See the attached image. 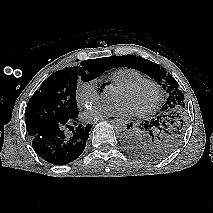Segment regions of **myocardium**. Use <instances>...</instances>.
I'll list each match as a JSON object with an SVG mask.
<instances>
[{"label":"myocardium","mask_w":213,"mask_h":213,"mask_svg":"<svg viewBox=\"0 0 213 213\" xmlns=\"http://www.w3.org/2000/svg\"><path fill=\"white\" fill-rule=\"evenodd\" d=\"M143 85H148L152 88L154 97H153L152 103L147 108H145L143 110H139V111H134V114L138 117H143V116L149 115L158 108V105L160 102V95H161L159 85L151 79L143 78L140 80L133 81L131 83L124 84L119 87L120 89H124V90H134Z\"/></svg>","instance_id":"1"}]
</instances>
